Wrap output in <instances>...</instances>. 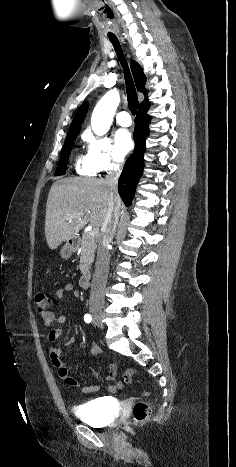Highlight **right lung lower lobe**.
Instances as JSON below:
<instances>
[{"label": "right lung lower lobe", "instance_id": "right-lung-lower-lobe-1", "mask_svg": "<svg viewBox=\"0 0 236 467\" xmlns=\"http://www.w3.org/2000/svg\"><path fill=\"white\" fill-rule=\"evenodd\" d=\"M149 107L150 103L139 107L135 118V130L133 135L135 150L127 159L118 181V192L127 207L132 202L135 187L143 172L145 141L146 137L149 135L148 124L150 122V116L147 115Z\"/></svg>", "mask_w": 236, "mask_h": 467}]
</instances>
